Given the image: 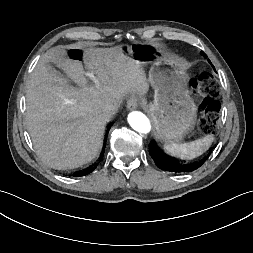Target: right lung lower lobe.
Segmentation results:
<instances>
[{
    "label": "right lung lower lobe",
    "instance_id": "1",
    "mask_svg": "<svg viewBox=\"0 0 253 253\" xmlns=\"http://www.w3.org/2000/svg\"><path fill=\"white\" fill-rule=\"evenodd\" d=\"M92 171H93V169H90V170L87 171V173H76V174H74V176L75 177H77V176H83V175H86V174H88V173H90Z\"/></svg>",
    "mask_w": 253,
    "mask_h": 253
}]
</instances>
